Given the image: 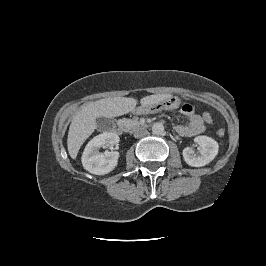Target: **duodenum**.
I'll list each match as a JSON object with an SVG mask.
<instances>
[{"mask_svg":"<svg viewBox=\"0 0 266 266\" xmlns=\"http://www.w3.org/2000/svg\"><path fill=\"white\" fill-rule=\"evenodd\" d=\"M115 131L117 133H123L125 131V122L123 120H119L115 123Z\"/></svg>","mask_w":266,"mask_h":266,"instance_id":"1","label":"duodenum"}]
</instances>
